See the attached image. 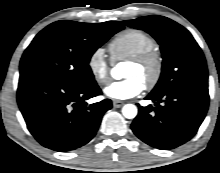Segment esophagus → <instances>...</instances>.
<instances>
[{
  "mask_svg": "<svg viewBox=\"0 0 220 173\" xmlns=\"http://www.w3.org/2000/svg\"><path fill=\"white\" fill-rule=\"evenodd\" d=\"M124 105V102L123 101H120V100H113V107L115 108H119L121 106Z\"/></svg>",
  "mask_w": 220,
  "mask_h": 173,
  "instance_id": "esophagus-1",
  "label": "esophagus"
}]
</instances>
